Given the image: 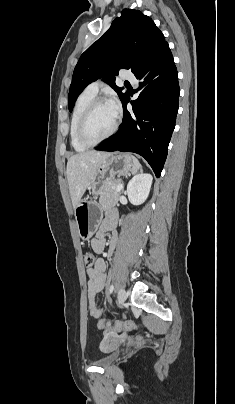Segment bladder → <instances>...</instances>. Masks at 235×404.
<instances>
[{"instance_id": "31cf9c89", "label": "bladder", "mask_w": 235, "mask_h": 404, "mask_svg": "<svg viewBox=\"0 0 235 404\" xmlns=\"http://www.w3.org/2000/svg\"><path fill=\"white\" fill-rule=\"evenodd\" d=\"M118 354L113 351L109 354L102 356L96 363L101 367H109L111 366L117 359Z\"/></svg>"}]
</instances>
